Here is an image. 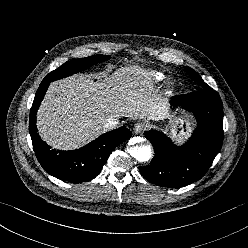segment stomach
<instances>
[{
  "label": "stomach",
  "mask_w": 248,
  "mask_h": 248,
  "mask_svg": "<svg viewBox=\"0 0 248 248\" xmlns=\"http://www.w3.org/2000/svg\"><path fill=\"white\" fill-rule=\"evenodd\" d=\"M183 125L184 123L182 121L176 120L172 122V125L169 130V134L175 139H177L179 142L187 138L190 132L191 124L187 122L185 127ZM184 130H186L187 132L185 133Z\"/></svg>",
  "instance_id": "1"
}]
</instances>
